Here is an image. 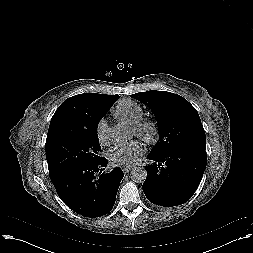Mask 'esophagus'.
I'll return each mask as SVG.
<instances>
[{
    "label": "esophagus",
    "mask_w": 253,
    "mask_h": 253,
    "mask_svg": "<svg viewBox=\"0 0 253 253\" xmlns=\"http://www.w3.org/2000/svg\"><path fill=\"white\" fill-rule=\"evenodd\" d=\"M132 166H125V167H123V171H124V173H129L131 170H132Z\"/></svg>",
    "instance_id": "obj_1"
}]
</instances>
